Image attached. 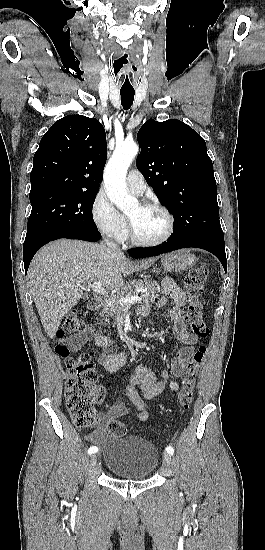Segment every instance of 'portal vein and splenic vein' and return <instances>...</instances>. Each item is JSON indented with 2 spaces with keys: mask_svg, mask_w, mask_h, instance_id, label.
<instances>
[{
  "mask_svg": "<svg viewBox=\"0 0 265 550\" xmlns=\"http://www.w3.org/2000/svg\"><path fill=\"white\" fill-rule=\"evenodd\" d=\"M86 288L93 290L95 293L99 295H107V292L102 287L101 281H96L92 284H88ZM141 302H142V298L139 296H128V297H121L118 299V304L122 307H129L134 303H141Z\"/></svg>",
  "mask_w": 265,
  "mask_h": 550,
  "instance_id": "18ae733b",
  "label": "portal vein and splenic vein"
}]
</instances>
